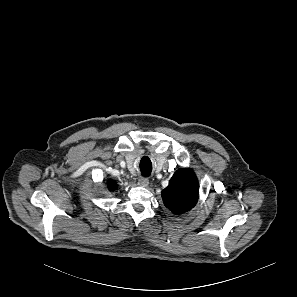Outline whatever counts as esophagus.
<instances>
[{
  "label": "esophagus",
  "mask_w": 297,
  "mask_h": 297,
  "mask_svg": "<svg viewBox=\"0 0 297 297\" xmlns=\"http://www.w3.org/2000/svg\"><path fill=\"white\" fill-rule=\"evenodd\" d=\"M138 185L141 186V187H147L149 185L148 178L140 177L139 180H138Z\"/></svg>",
  "instance_id": "1"
}]
</instances>
